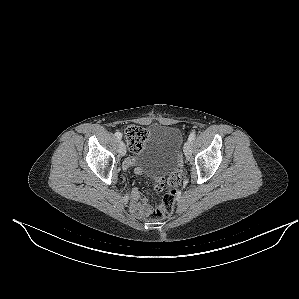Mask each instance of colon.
Wrapping results in <instances>:
<instances>
[{
    "label": "colon",
    "instance_id": "1",
    "mask_svg": "<svg viewBox=\"0 0 299 299\" xmlns=\"http://www.w3.org/2000/svg\"><path fill=\"white\" fill-rule=\"evenodd\" d=\"M124 135L131 151L138 152L142 149L148 132L144 127L137 125H129L124 129ZM182 180V165L178 163L175 170L168 175L165 182L159 188L165 189V195L161 202L149 212L152 219H161L170 215L175 204L176 189L181 184Z\"/></svg>",
    "mask_w": 299,
    "mask_h": 299
}]
</instances>
